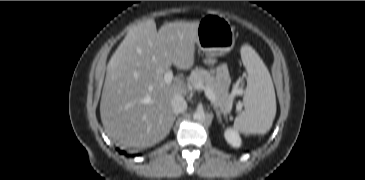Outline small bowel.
<instances>
[{
  "label": "small bowel",
  "mask_w": 365,
  "mask_h": 180,
  "mask_svg": "<svg viewBox=\"0 0 365 180\" xmlns=\"http://www.w3.org/2000/svg\"><path fill=\"white\" fill-rule=\"evenodd\" d=\"M207 62H208L209 66L214 65V59H212V58H209ZM213 71L215 72L218 80H220L221 82H226L227 81V74H226V71L223 67L213 68Z\"/></svg>",
  "instance_id": "1"
}]
</instances>
